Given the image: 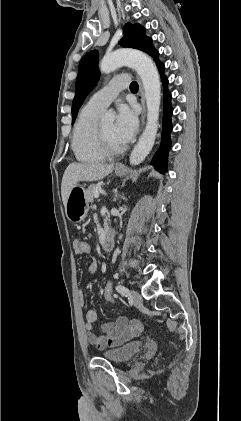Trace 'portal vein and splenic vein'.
<instances>
[{
    "mask_svg": "<svg viewBox=\"0 0 241 421\" xmlns=\"http://www.w3.org/2000/svg\"><path fill=\"white\" fill-rule=\"evenodd\" d=\"M94 197H95V198H98V197H99V192H98V191H95V192H94Z\"/></svg>",
    "mask_w": 241,
    "mask_h": 421,
    "instance_id": "1",
    "label": "portal vein and splenic vein"
}]
</instances>
